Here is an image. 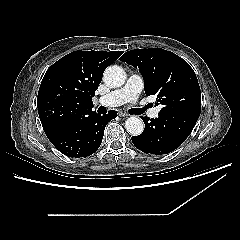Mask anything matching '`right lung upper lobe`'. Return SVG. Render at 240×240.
I'll return each mask as SVG.
<instances>
[{
	"instance_id": "right-lung-upper-lobe-1",
	"label": "right lung upper lobe",
	"mask_w": 240,
	"mask_h": 240,
	"mask_svg": "<svg viewBox=\"0 0 240 240\" xmlns=\"http://www.w3.org/2000/svg\"><path fill=\"white\" fill-rule=\"evenodd\" d=\"M121 51H74L45 73L38 92V113L47 137L96 113L92 97L104 70Z\"/></svg>"
}]
</instances>
